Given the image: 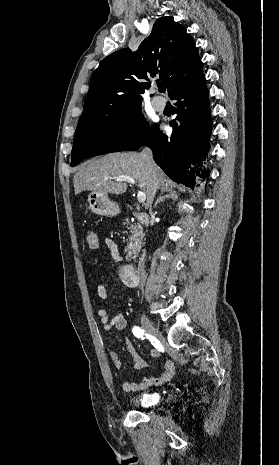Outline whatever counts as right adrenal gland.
Here are the masks:
<instances>
[{
    "instance_id": "obj_1",
    "label": "right adrenal gland",
    "mask_w": 279,
    "mask_h": 465,
    "mask_svg": "<svg viewBox=\"0 0 279 465\" xmlns=\"http://www.w3.org/2000/svg\"><path fill=\"white\" fill-rule=\"evenodd\" d=\"M165 191H161V193L163 194ZM178 198V195L176 193V191H172V190H168L167 191V194L166 195H160V197L157 199V201L155 202L154 204V208L157 207V205L160 203V202H164L165 199H172V200H177Z\"/></svg>"
}]
</instances>
